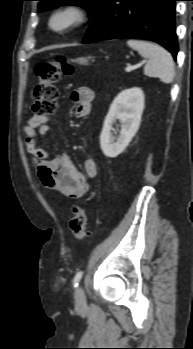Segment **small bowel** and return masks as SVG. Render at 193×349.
<instances>
[{"instance_id": "c3829d8e", "label": "small bowel", "mask_w": 193, "mask_h": 349, "mask_svg": "<svg viewBox=\"0 0 193 349\" xmlns=\"http://www.w3.org/2000/svg\"><path fill=\"white\" fill-rule=\"evenodd\" d=\"M76 104L75 116L87 117L92 109L94 92L89 87H79L71 94ZM50 116H33L25 124V146L33 156V167L44 188L70 198H81L89 191L88 179L97 175L98 167L94 158L88 157L83 163V172L72 163L67 153L51 157L50 153L38 145L37 136L46 135Z\"/></svg>"}]
</instances>
